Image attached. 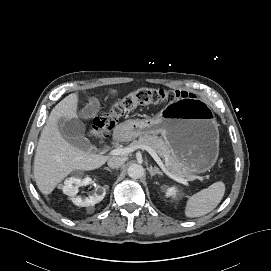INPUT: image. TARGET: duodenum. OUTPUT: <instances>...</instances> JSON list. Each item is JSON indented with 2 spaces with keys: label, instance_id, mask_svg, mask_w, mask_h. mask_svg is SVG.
<instances>
[{
  "label": "duodenum",
  "instance_id": "obj_1",
  "mask_svg": "<svg viewBox=\"0 0 271 271\" xmlns=\"http://www.w3.org/2000/svg\"><path fill=\"white\" fill-rule=\"evenodd\" d=\"M126 136V132L123 129H118L113 134V140L114 141H121Z\"/></svg>",
  "mask_w": 271,
  "mask_h": 271
}]
</instances>
